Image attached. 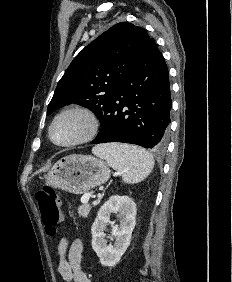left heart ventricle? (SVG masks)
I'll list each match as a JSON object with an SVG mask.
<instances>
[{
    "label": "left heart ventricle",
    "mask_w": 232,
    "mask_h": 282,
    "mask_svg": "<svg viewBox=\"0 0 232 282\" xmlns=\"http://www.w3.org/2000/svg\"><path fill=\"white\" fill-rule=\"evenodd\" d=\"M86 129V121L79 116L63 118L53 128V138L57 142H67L79 137Z\"/></svg>",
    "instance_id": "obj_1"
}]
</instances>
